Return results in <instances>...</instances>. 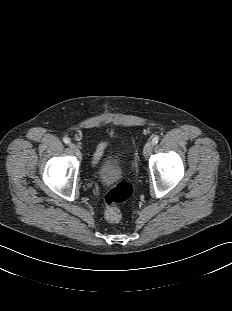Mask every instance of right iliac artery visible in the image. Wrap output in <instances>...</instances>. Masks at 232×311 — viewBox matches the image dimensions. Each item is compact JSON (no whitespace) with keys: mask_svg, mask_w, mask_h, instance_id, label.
<instances>
[{"mask_svg":"<svg viewBox=\"0 0 232 311\" xmlns=\"http://www.w3.org/2000/svg\"><path fill=\"white\" fill-rule=\"evenodd\" d=\"M63 141L65 144H69L70 143V139L68 137H64Z\"/></svg>","mask_w":232,"mask_h":311,"instance_id":"obj_1","label":"right iliac artery"}]
</instances>
